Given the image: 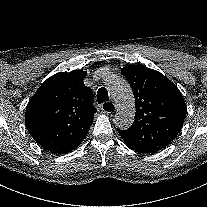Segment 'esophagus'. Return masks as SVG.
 Segmentation results:
<instances>
[{"label": "esophagus", "mask_w": 207, "mask_h": 207, "mask_svg": "<svg viewBox=\"0 0 207 207\" xmlns=\"http://www.w3.org/2000/svg\"><path fill=\"white\" fill-rule=\"evenodd\" d=\"M102 109L106 114H114L116 112V105L114 103H106Z\"/></svg>", "instance_id": "1"}]
</instances>
